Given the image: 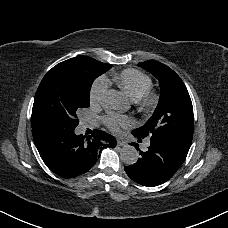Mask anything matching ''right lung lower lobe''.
<instances>
[{"instance_id": "right-lung-lower-lobe-1", "label": "right lung lower lobe", "mask_w": 228, "mask_h": 228, "mask_svg": "<svg viewBox=\"0 0 228 228\" xmlns=\"http://www.w3.org/2000/svg\"><path fill=\"white\" fill-rule=\"evenodd\" d=\"M33 139L46 166L55 174L72 178L91 169L98 151L115 147L116 139L104 131L76 135L75 128L32 129Z\"/></svg>"}]
</instances>
